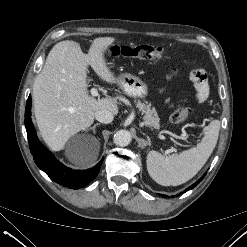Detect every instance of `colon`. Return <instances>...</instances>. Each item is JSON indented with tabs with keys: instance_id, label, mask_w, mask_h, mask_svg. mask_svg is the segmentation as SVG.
<instances>
[{
	"instance_id": "5ec220e1",
	"label": "colon",
	"mask_w": 247,
	"mask_h": 247,
	"mask_svg": "<svg viewBox=\"0 0 247 247\" xmlns=\"http://www.w3.org/2000/svg\"><path fill=\"white\" fill-rule=\"evenodd\" d=\"M170 54L171 52L165 47L152 45H117L110 49V55L113 57L161 59L170 56ZM189 113L190 107L185 103L173 111L170 119L175 124H182L188 120Z\"/></svg>"
}]
</instances>
